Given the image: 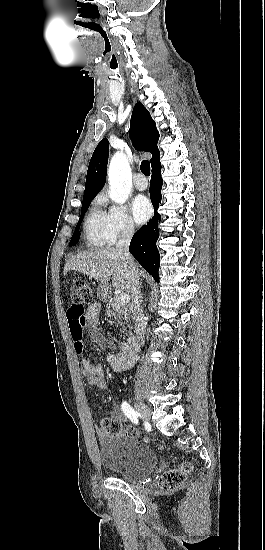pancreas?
Here are the masks:
<instances>
[{"label": "pancreas", "instance_id": "cf45deb5", "mask_svg": "<svg viewBox=\"0 0 265 550\" xmlns=\"http://www.w3.org/2000/svg\"><path fill=\"white\" fill-rule=\"evenodd\" d=\"M106 308V313L109 316L118 318L122 324H128L133 319L132 304L121 303L119 296L111 298Z\"/></svg>", "mask_w": 265, "mask_h": 550}]
</instances>
